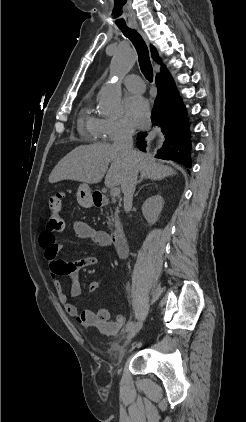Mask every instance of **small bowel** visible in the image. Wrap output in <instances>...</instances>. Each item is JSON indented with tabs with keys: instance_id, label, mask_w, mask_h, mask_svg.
Listing matches in <instances>:
<instances>
[{
	"instance_id": "obj_1",
	"label": "small bowel",
	"mask_w": 246,
	"mask_h": 422,
	"mask_svg": "<svg viewBox=\"0 0 246 422\" xmlns=\"http://www.w3.org/2000/svg\"><path fill=\"white\" fill-rule=\"evenodd\" d=\"M74 228L77 237L81 240L90 241L100 246L109 245V237L104 231L94 229L81 221H77ZM39 245L44 250V257L48 264L52 284L57 292L59 301L63 304L68 314L75 317L85 327H95L110 335L118 333L126 323V317L124 315L119 314L115 320H112L110 312L104 308H100L97 311L85 309L79 312L76 305L69 301L68 295L63 290L60 281L61 276H70L72 279L70 295L72 297L79 296L82 292L80 271L85 267L97 265V258L88 256L75 262H66L60 259L58 257L59 253L69 251L70 249L67 245L60 244L56 241L54 230L48 226L39 234ZM102 285L103 282L101 280H96L91 282L88 288L90 291H96Z\"/></svg>"
}]
</instances>
